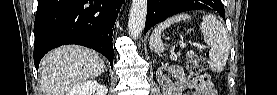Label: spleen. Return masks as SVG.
Returning <instances> with one entry per match:
<instances>
[{"mask_svg": "<svg viewBox=\"0 0 277 95\" xmlns=\"http://www.w3.org/2000/svg\"><path fill=\"white\" fill-rule=\"evenodd\" d=\"M190 19L191 16L188 14H178L160 23L150 36V49L157 54L163 53L165 47L161 40L162 31L174 23ZM200 29L205 43L210 47L209 67L213 72L219 73L224 69L230 52V40L227 29L221 21L211 14L203 16Z\"/></svg>", "mask_w": 277, "mask_h": 95, "instance_id": "3e777b00", "label": "spleen"}]
</instances>
